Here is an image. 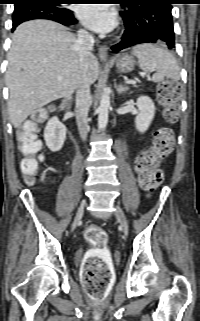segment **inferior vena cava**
<instances>
[{"instance_id":"1","label":"inferior vena cava","mask_w":200,"mask_h":321,"mask_svg":"<svg viewBox=\"0 0 200 321\" xmlns=\"http://www.w3.org/2000/svg\"><path fill=\"white\" fill-rule=\"evenodd\" d=\"M94 46L93 36L86 30H79L75 42V50L78 53L81 69L76 86V107L75 116L78 131L83 140L86 139L89 131L88 111L92 102L90 93V83L86 76L87 58L91 54Z\"/></svg>"}]
</instances>
